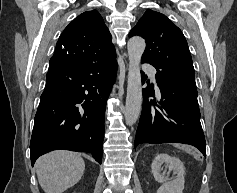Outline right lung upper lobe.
Instances as JSON below:
<instances>
[{
  "label": "right lung upper lobe",
  "instance_id": "1",
  "mask_svg": "<svg viewBox=\"0 0 237 193\" xmlns=\"http://www.w3.org/2000/svg\"><path fill=\"white\" fill-rule=\"evenodd\" d=\"M111 34L98 11L80 14L63 31L50 61L75 67L104 63L115 58Z\"/></svg>",
  "mask_w": 237,
  "mask_h": 193
}]
</instances>
